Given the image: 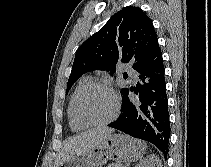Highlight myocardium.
I'll list each match as a JSON object with an SVG mask.
<instances>
[{
    "label": "myocardium",
    "mask_w": 211,
    "mask_h": 167,
    "mask_svg": "<svg viewBox=\"0 0 211 167\" xmlns=\"http://www.w3.org/2000/svg\"><path fill=\"white\" fill-rule=\"evenodd\" d=\"M95 87H99V88H103L105 90H107L113 100H114V111L113 114L106 120L104 121H99V122H94V121H88L86 119H84L78 110V106H79V101L82 97V95L88 91L91 88H95ZM73 116L75 118V120L80 123L81 125H84L86 127H101V126H106L110 123H112L114 120H116V118L119 115L120 112V99L118 94L116 93V91L106 82L103 81H97V80H92L89 81L87 84H85L76 94L75 98H74V102H73Z\"/></svg>",
    "instance_id": "myocardium-1"
}]
</instances>
